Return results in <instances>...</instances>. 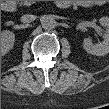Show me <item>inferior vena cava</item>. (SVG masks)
I'll list each match as a JSON object with an SVG mask.
<instances>
[{
	"label": "inferior vena cava",
	"mask_w": 109,
	"mask_h": 109,
	"mask_svg": "<svg viewBox=\"0 0 109 109\" xmlns=\"http://www.w3.org/2000/svg\"><path fill=\"white\" fill-rule=\"evenodd\" d=\"M36 19V16L31 14H25L21 17V21L24 23H30Z\"/></svg>",
	"instance_id": "inferior-vena-cava-1"
}]
</instances>
